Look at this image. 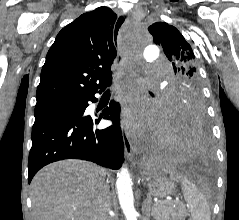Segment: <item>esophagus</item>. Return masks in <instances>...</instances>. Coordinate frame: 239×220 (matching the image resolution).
Instances as JSON below:
<instances>
[{
	"label": "esophagus",
	"instance_id": "34e87169",
	"mask_svg": "<svg viewBox=\"0 0 239 220\" xmlns=\"http://www.w3.org/2000/svg\"><path fill=\"white\" fill-rule=\"evenodd\" d=\"M124 22V17L120 16L116 26L113 27L114 33H113V41L114 46H119L120 37L122 36L121 30H122V23ZM125 59V54L118 49V55H117V62L115 64V67L112 68L113 74H120V71L122 69V63ZM121 129L123 133V142H124V148H125V154L129 160H132L134 157V153L137 151V149L133 146V144L130 141L128 132H127V126L124 121L121 122Z\"/></svg>",
	"mask_w": 239,
	"mask_h": 220
}]
</instances>
